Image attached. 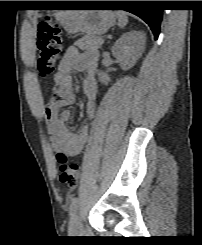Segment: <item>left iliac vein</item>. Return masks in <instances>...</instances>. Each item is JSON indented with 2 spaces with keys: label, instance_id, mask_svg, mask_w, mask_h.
I'll use <instances>...</instances> for the list:
<instances>
[{
  "label": "left iliac vein",
  "instance_id": "1",
  "mask_svg": "<svg viewBox=\"0 0 202 245\" xmlns=\"http://www.w3.org/2000/svg\"><path fill=\"white\" fill-rule=\"evenodd\" d=\"M81 220L77 212H74V214L70 218V226L69 230L72 234H77L81 231Z\"/></svg>",
  "mask_w": 202,
  "mask_h": 245
}]
</instances>
